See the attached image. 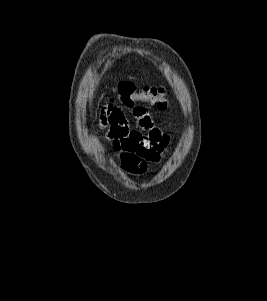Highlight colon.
<instances>
[{
  "mask_svg": "<svg viewBox=\"0 0 267 301\" xmlns=\"http://www.w3.org/2000/svg\"><path fill=\"white\" fill-rule=\"evenodd\" d=\"M117 99L125 104L132 105L136 101H146L159 109L167 106L164 89L156 86H146L137 89L131 82H122L116 89Z\"/></svg>",
  "mask_w": 267,
  "mask_h": 301,
  "instance_id": "obj_1",
  "label": "colon"
}]
</instances>
